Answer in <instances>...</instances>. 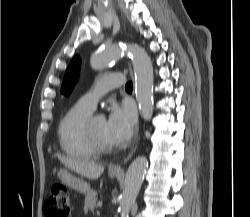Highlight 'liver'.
Segmentation results:
<instances>
[{
	"label": "liver",
	"mask_w": 250,
	"mask_h": 217,
	"mask_svg": "<svg viewBox=\"0 0 250 217\" xmlns=\"http://www.w3.org/2000/svg\"><path fill=\"white\" fill-rule=\"evenodd\" d=\"M54 157L58 158L65 167L87 179L95 180L100 177L104 171L102 165H98L87 159L70 158L60 154H55Z\"/></svg>",
	"instance_id": "liver-1"
}]
</instances>
